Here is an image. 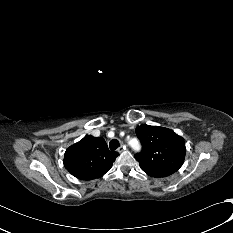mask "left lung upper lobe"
Instances as JSON below:
<instances>
[{
	"label": "left lung upper lobe",
	"instance_id": "obj_1",
	"mask_svg": "<svg viewBox=\"0 0 233 233\" xmlns=\"http://www.w3.org/2000/svg\"><path fill=\"white\" fill-rule=\"evenodd\" d=\"M142 151L135 155L141 169L151 177H166L182 166L186 147L174 131L150 125L136 127Z\"/></svg>",
	"mask_w": 233,
	"mask_h": 233
}]
</instances>
